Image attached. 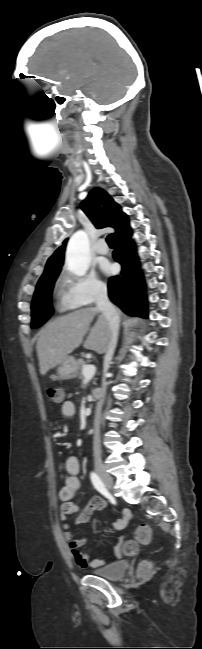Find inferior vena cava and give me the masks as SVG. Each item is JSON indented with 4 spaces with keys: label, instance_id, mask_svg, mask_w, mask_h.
Wrapping results in <instances>:
<instances>
[{
    "label": "inferior vena cava",
    "instance_id": "inferior-vena-cava-1",
    "mask_svg": "<svg viewBox=\"0 0 202 649\" xmlns=\"http://www.w3.org/2000/svg\"><path fill=\"white\" fill-rule=\"evenodd\" d=\"M95 300H96L97 309L103 313V315L105 316V318L109 323L110 330H111L110 341L105 354V364L108 367L113 358V354L115 352L117 341H118L120 315L117 309L112 305V303L108 299V292L106 286H101L98 288L96 292ZM104 395H105V384L99 394L100 403ZM99 424L100 422L99 419L97 418L95 422L96 432H95L94 442H93L94 455H100Z\"/></svg>",
    "mask_w": 202,
    "mask_h": 649
}]
</instances>
